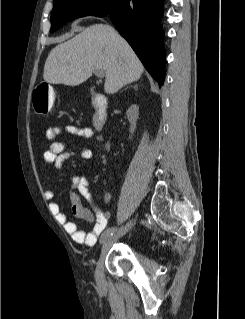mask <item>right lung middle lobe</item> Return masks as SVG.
Listing matches in <instances>:
<instances>
[{
	"instance_id": "1",
	"label": "right lung middle lobe",
	"mask_w": 245,
	"mask_h": 319,
	"mask_svg": "<svg viewBox=\"0 0 245 319\" xmlns=\"http://www.w3.org/2000/svg\"><path fill=\"white\" fill-rule=\"evenodd\" d=\"M120 2L121 0H54L50 32L75 18L88 15L108 16Z\"/></svg>"
}]
</instances>
